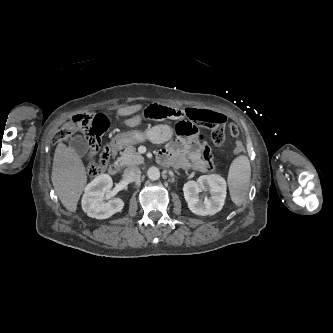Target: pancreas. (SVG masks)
I'll return each instance as SVG.
<instances>
[{"instance_id":"cf45deb5","label":"pancreas","mask_w":333,"mask_h":333,"mask_svg":"<svg viewBox=\"0 0 333 333\" xmlns=\"http://www.w3.org/2000/svg\"><path fill=\"white\" fill-rule=\"evenodd\" d=\"M118 161L122 166H135L142 164L144 162V158L136 151L134 146H128L125 148Z\"/></svg>"}]
</instances>
